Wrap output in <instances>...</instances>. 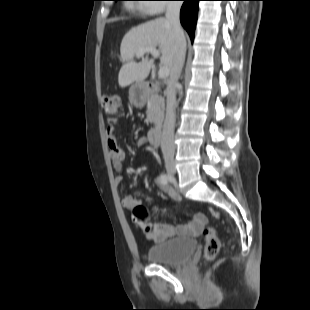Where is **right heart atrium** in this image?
Returning <instances> with one entry per match:
<instances>
[{
  "label": "right heart atrium",
  "mask_w": 310,
  "mask_h": 310,
  "mask_svg": "<svg viewBox=\"0 0 310 310\" xmlns=\"http://www.w3.org/2000/svg\"><path fill=\"white\" fill-rule=\"evenodd\" d=\"M154 3L149 4L145 7L147 13L158 14L163 12L166 9V1L168 0H148Z\"/></svg>",
  "instance_id": "1"
}]
</instances>
